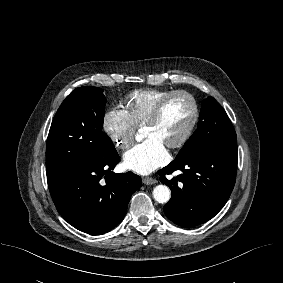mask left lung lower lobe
Returning <instances> with one entry per match:
<instances>
[{"label":"left lung lower lobe","mask_w":283,"mask_h":283,"mask_svg":"<svg viewBox=\"0 0 283 283\" xmlns=\"http://www.w3.org/2000/svg\"><path fill=\"white\" fill-rule=\"evenodd\" d=\"M180 170L171 180L166 174ZM237 170V144L230 142L192 151L174 159L158 171L172 197L164 206L168 219L183 227H193L213 218L233 190Z\"/></svg>","instance_id":"1"}]
</instances>
